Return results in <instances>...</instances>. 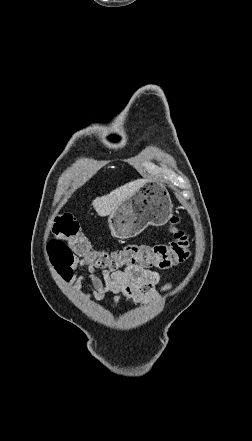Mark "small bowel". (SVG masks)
<instances>
[{
    "label": "small bowel",
    "instance_id": "c3829d8e",
    "mask_svg": "<svg viewBox=\"0 0 252 441\" xmlns=\"http://www.w3.org/2000/svg\"><path fill=\"white\" fill-rule=\"evenodd\" d=\"M84 266H87V275L75 276V272ZM95 270L96 267L85 259L75 257L64 279L85 298L93 297L96 300H102L106 293H114L116 295L114 306L121 302L122 296L136 303L149 304L158 300L161 292L168 291L172 287L171 283H166L158 289L157 286L161 281L159 273L144 267H128L114 272L104 270L103 278L96 274ZM85 283L89 286V292L82 291Z\"/></svg>",
    "mask_w": 252,
    "mask_h": 441
}]
</instances>
